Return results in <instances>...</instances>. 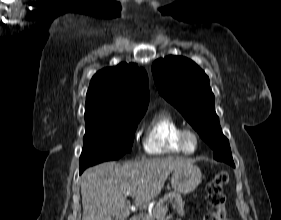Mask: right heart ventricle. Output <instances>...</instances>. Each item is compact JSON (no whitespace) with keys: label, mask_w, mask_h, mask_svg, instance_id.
Segmentation results:
<instances>
[{"label":"right heart ventricle","mask_w":281,"mask_h":220,"mask_svg":"<svg viewBox=\"0 0 281 220\" xmlns=\"http://www.w3.org/2000/svg\"><path fill=\"white\" fill-rule=\"evenodd\" d=\"M181 124L168 111L156 113L149 121L143 147L150 155L185 154L179 143Z\"/></svg>","instance_id":"obj_1"}]
</instances>
